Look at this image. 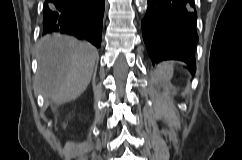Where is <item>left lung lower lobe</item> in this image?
<instances>
[{
  "instance_id": "obj_1",
  "label": "left lung lower lobe",
  "mask_w": 242,
  "mask_h": 160,
  "mask_svg": "<svg viewBox=\"0 0 242 160\" xmlns=\"http://www.w3.org/2000/svg\"><path fill=\"white\" fill-rule=\"evenodd\" d=\"M196 20L194 0H148L142 30L153 65L180 60L195 72Z\"/></svg>"
}]
</instances>
